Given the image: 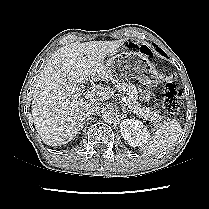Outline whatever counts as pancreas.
Instances as JSON below:
<instances>
[{
    "label": "pancreas",
    "mask_w": 209,
    "mask_h": 209,
    "mask_svg": "<svg viewBox=\"0 0 209 209\" xmlns=\"http://www.w3.org/2000/svg\"><path fill=\"white\" fill-rule=\"evenodd\" d=\"M117 90L123 91L127 95V106L132 110L139 118L151 121L156 125L162 116L158 111H153L151 108H143L138 102V92L134 84L131 83H119L116 86Z\"/></svg>",
    "instance_id": "1"
}]
</instances>
